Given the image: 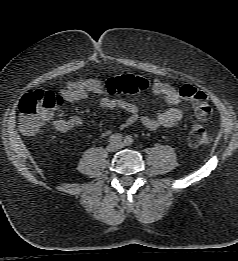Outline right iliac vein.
Returning a JSON list of instances; mask_svg holds the SVG:
<instances>
[{"instance_id":"right-iliac-vein-1","label":"right iliac vein","mask_w":238,"mask_h":261,"mask_svg":"<svg viewBox=\"0 0 238 261\" xmlns=\"http://www.w3.org/2000/svg\"><path fill=\"white\" fill-rule=\"evenodd\" d=\"M117 149H118V146L115 145V144H110V145L107 147V150L110 151V152H115Z\"/></svg>"}]
</instances>
